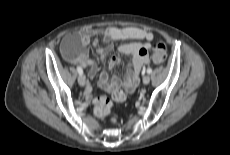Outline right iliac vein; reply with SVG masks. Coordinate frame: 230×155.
I'll return each mask as SVG.
<instances>
[{"label":"right iliac vein","instance_id":"1","mask_svg":"<svg viewBox=\"0 0 230 155\" xmlns=\"http://www.w3.org/2000/svg\"><path fill=\"white\" fill-rule=\"evenodd\" d=\"M78 83H79V85L80 86H85V84H86V81H85V77L83 76V75H79L78 76Z\"/></svg>","mask_w":230,"mask_h":155}]
</instances>
